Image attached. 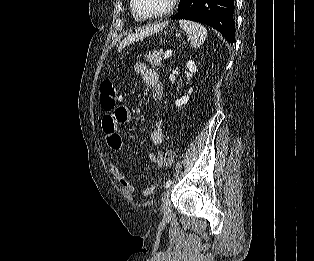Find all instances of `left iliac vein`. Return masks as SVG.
Listing matches in <instances>:
<instances>
[{"instance_id": "4c4485c4", "label": "left iliac vein", "mask_w": 314, "mask_h": 261, "mask_svg": "<svg viewBox=\"0 0 314 261\" xmlns=\"http://www.w3.org/2000/svg\"><path fill=\"white\" fill-rule=\"evenodd\" d=\"M162 212L165 218L171 215L170 193L166 191L162 197Z\"/></svg>"}]
</instances>
